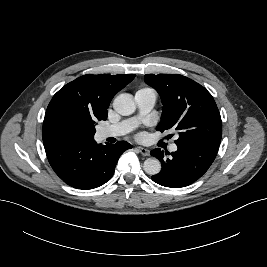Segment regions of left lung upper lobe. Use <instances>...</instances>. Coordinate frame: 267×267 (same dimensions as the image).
<instances>
[{"instance_id":"5c2ea615","label":"left lung upper lobe","mask_w":267,"mask_h":267,"mask_svg":"<svg viewBox=\"0 0 267 267\" xmlns=\"http://www.w3.org/2000/svg\"><path fill=\"white\" fill-rule=\"evenodd\" d=\"M144 80L159 93L164 105L157 130H176L177 146L220 145V113L203 86L178 74H146Z\"/></svg>"}]
</instances>
